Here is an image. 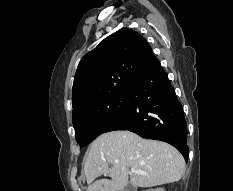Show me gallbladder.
I'll list each match as a JSON object with an SVG mask.
<instances>
[{"mask_svg": "<svg viewBox=\"0 0 233 191\" xmlns=\"http://www.w3.org/2000/svg\"><path fill=\"white\" fill-rule=\"evenodd\" d=\"M123 191H136V188L129 182Z\"/></svg>", "mask_w": 233, "mask_h": 191, "instance_id": "obj_1", "label": "gallbladder"}]
</instances>
